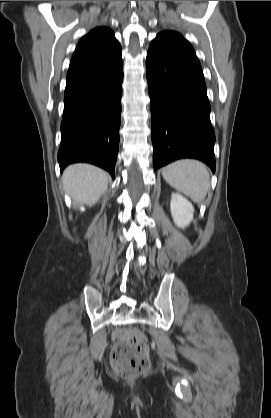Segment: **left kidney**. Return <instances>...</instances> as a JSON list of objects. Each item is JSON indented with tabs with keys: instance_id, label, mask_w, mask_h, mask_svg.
I'll use <instances>...</instances> for the list:
<instances>
[{
	"instance_id": "5707ae66",
	"label": "left kidney",
	"mask_w": 271,
	"mask_h": 418,
	"mask_svg": "<svg viewBox=\"0 0 271 418\" xmlns=\"http://www.w3.org/2000/svg\"><path fill=\"white\" fill-rule=\"evenodd\" d=\"M170 210L174 223L179 228H185L193 218L194 207L185 197L172 193Z\"/></svg>"
}]
</instances>
